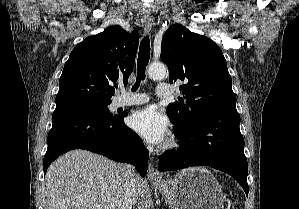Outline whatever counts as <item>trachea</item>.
I'll list each match as a JSON object with an SVG mask.
<instances>
[{
	"label": "trachea",
	"instance_id": "3493384b",
	"mask_svg": "<svg viewBox=\"0 0 299 209\" xmlns=\"http://www.w3.org/2000/svg\"><path fill=\"white\" fill-rule=\"evenodd\" d=\"M150 58V40L149 37L146 36L140 43L139 53H138V60H137V69L138 74L136 78V83L132 87V91H136L140 85L141 80L145 79V71L146 66L148 65Z\"/></svg>",
	"mask_w": 299,
	"mask_h": 209
}]
</instances>
